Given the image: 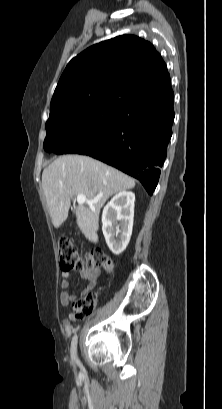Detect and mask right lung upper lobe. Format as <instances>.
Listing matches in <instances>:
<instances>
[{"label": "right lung upper lobe", "mask_w": 222, "mask_h": 409, "mask_svg": "<svg viewBox=\"0 0 222 409\" xmlns=\"http://www.w3.org/2000/svg\"><path fill=\"white\" fill-rule=\"evenodd\" d=\"M167 67L154 46L134 35L95 44L65 68L50 104V113L67 106L162 95L171 88Z\"/></svg>", "instance_id": "obj_1"}]
</instances>
